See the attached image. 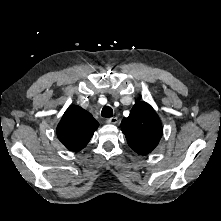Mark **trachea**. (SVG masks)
<instances>
[{"label":"trachea","mask_w":221,"mask_h":221,"mask_svg":"<svg viewBox=\"0 0 221 221\" xmlns=\"http://www.w3.org/2000/svg\"><path fill=\"white\" fill-rule=\"evenodd\" d=\"M101 116L105 118H110L113 116V110L110 106H104L101 111Z\"/></svg>","instance_id":"1"}]
</instances>
